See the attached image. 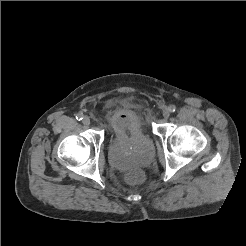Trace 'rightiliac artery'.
Segmentation results:
<instances>
[{
	"instance_id": "obj_1",
	"label": "right iliac artery",
	"mask_w": 246,
	"mask_h": 246,
	"mask_svg": "<svg viewBox=\"0 0 246 246\" xmlns=\"http://www.w3.org/2000/svg\"><path fill=\"white\" fill-rule=\"evenodd\" d=\"M76 119L77 120H82L83 119V114H81V113H78L77 115H76Z\"/></svg>"
}]
</instances>
